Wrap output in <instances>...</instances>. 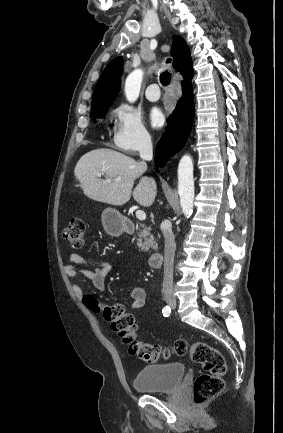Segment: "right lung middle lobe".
Masks as SVG:
<instances>
[{
	"label": "right lung middle lobe",
	"mask_w": 283,
	"mask_h": 433,
	"mask_svg": "<svg viewBox=\"0 0 283 433\" xmlns=\"http://www.w3.org/2000/svg\"><path fill=\"white\" fill-rule=\"evenodd\" d=\"M108 109H109V106L96 109V110H94V111L91 112V116L93 118H95V117L102 118V117L105 116V114L108 111Z\"/></svg>",
	"instance_id": "1"
}]
</instances>
